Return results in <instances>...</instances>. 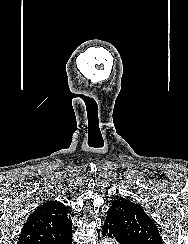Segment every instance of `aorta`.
Masks as SVG:
<instances>
[{
  "mask_svg": "<svg viewBox=\"0 0 188 244\" xmlns=\"http://www.w3.org/2000/svg\"><path fill=\"white\" fill-rule=\"evenodd\" d=\"M101 244H112L109 239L102 240Z\"/></svg>",
  "mask_w": 188,
  "mask_h": 244,
  "instance_id": "obj_1",
  "label": "aorta"
}]
</instances>
